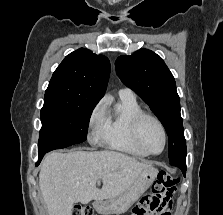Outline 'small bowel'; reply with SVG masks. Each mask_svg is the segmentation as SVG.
Returning <instances> with one entry per match:
<instances>
[{
  "label": "small bowel",
  "instance_id": "c3829d8e",
  "mask_svg": "<svg viewBox=\"0 0 223 215\" xmlns=\"http://www.w3.org/2000/svg\"><path fill=\"white\" fill-rule=\"evenodd\" d=\"M171 196L172 193L167 194V193H161V194H156L153 197V202L157 204H163L166 206V211L165 215H171Z\"/></svg>",
  "mask_w": 223,
  "mask_h": 215
}]
</instances>
